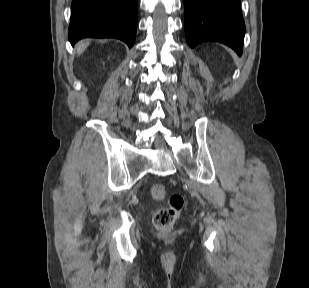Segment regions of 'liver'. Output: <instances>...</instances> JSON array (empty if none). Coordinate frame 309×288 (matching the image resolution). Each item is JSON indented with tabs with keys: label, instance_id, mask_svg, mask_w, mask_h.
<instances>
[{
	"label": "liver",
	"instance_id": "obj_1",
	"mask_svg": "<svg viewBox=\"0 0 309 288\" xmlns=\"http://www.w3.org/2000/svg\"><path fill=\"white\" fill-rule=\"evenodd\" d=\"M89 45V41H80L77 45H76V51H77V54L80 55L82 54L85 49L87 48V46Z\"/></svg>",
	"mask_w": 309,
	"mask_h": 288
}]
</instances>
